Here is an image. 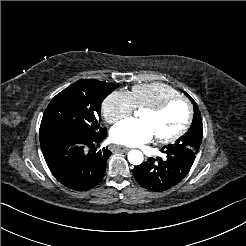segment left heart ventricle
Wrapping results in <instances>:
<instances>
[{
    "mask_svg": "<svg viewBox=\"0 0 246 246\" xmlns=\"http://www.w3.org/2000/svg\"><path fill=\"white\" fill-rule=\"evenodd\" d=\"M185 115L186 108L184 104L175 102L157 115L143 110L139 114V119L149 125L156 137H165L176 132L182 126Z\"/></svg>",
    "mask_w": 246,
    "mask_h": 246,
    "instance_id": "obj_1",
    "label": "left heart ventricle"
}]
</instances>
